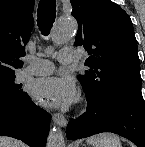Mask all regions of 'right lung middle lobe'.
<instances>
[{
    "instance_id": "1",
    "label": "right lung middle lobe",
    "mask_w": 145,
    "mask_h": 147,
    "mask_svg": "<svg viewBox=\"0 0 145 147\" xmlns=\"http://www.w3.org/2000/svg\"><path fill=\"white\" fill-rule=\"evenodd\" d=\"M21 88L22 85L15 83V74L0 75V105L22 101L27 93Z\"/></svg>"
}]
</instances>
